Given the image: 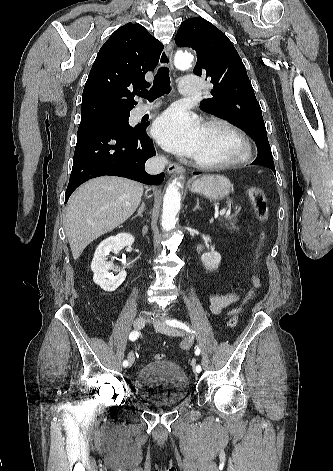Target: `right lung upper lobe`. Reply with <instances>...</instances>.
<instances>
[{
    "label": "right lung upper lobe",
    "instance_id": "obj_1",
    "mask_svg": "<svg viewBox=\"0 0 333 471\" xmlns=\"http://www.w3.org/2000/svg\"><path fill=\"white\" fill-rule=\"evenodd\" d=\"M163 50L160 41L140 24L117 29L101 47L85 84L81 120L128 112L137 102L136 91L148 86Z\"/></svg>",
    "mask_w": 333,
    "mask_h": 471
}]
</instances>
